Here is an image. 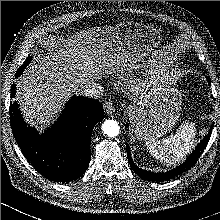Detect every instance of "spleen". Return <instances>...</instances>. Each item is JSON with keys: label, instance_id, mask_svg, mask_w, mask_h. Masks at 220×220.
<instances>
[{"label": "spleen", "instance_id": "spleen-1", "mask_svg": "<svg viewBox=\"0 0 220 220\" xmlns=\"http://www.w3.org/2000/svg\"><path fill=\"white\" fill-rule=\"evenodd\" d=\"M196 127L194 123H186L180 126L176 134L156 141L155 139L146 142L150 154L158 161L173 166L186 157L193 148Z\"/></svg>", "mask_w": 220, "mask_h": 220}]
</instances>
